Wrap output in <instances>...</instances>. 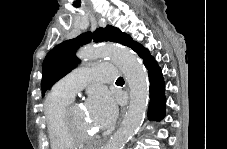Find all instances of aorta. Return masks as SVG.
<instances>
[{
    "label": "aorta",
    "instance_id": "762f6f07",
    "mask_svg": "<svg viewBox=\"0 0 227 149\" xmlns=\"http://www.w3.org/2000/svg\"><path fill=\"white\" fill-rule=\"evenodd\" d=\"M78 56L84 60L109 57L124 73L130 87L128 111L121 126L105 146V149H123L143 122L149 96L148 74L137 56L126 47L113 44L86 47Z\"/></svg>",
    "mask_w": 227,
    "mask_h": 149
}]
</instances>
